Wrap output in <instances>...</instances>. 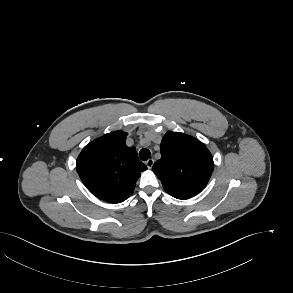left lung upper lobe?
I'll return each instance as SVG.
<instances>
[{"label": "left lung upper lobe", "instance_id": "obj_1", "mask_svg": "<svg viewBox=\"0 0 293 293\" xmlns=\"http://www.w3.org/2000/svg\"><path fill=\"white\" fill-rule=\"evenodd\" d=\"M161 158L153 171L167 193L177 199H189L207 185L214 162L207 147L196 138L167 132L160 145Z\"/></svg>", "mask_w": 293, "mask_h": 293}]
</instances>
